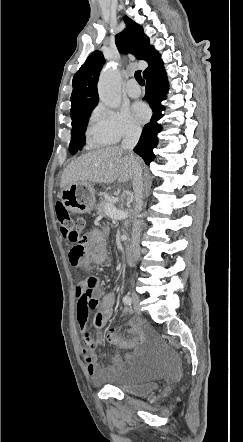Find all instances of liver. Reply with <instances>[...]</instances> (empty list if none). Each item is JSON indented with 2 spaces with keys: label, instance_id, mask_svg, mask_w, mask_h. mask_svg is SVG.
Masks as SVG:
<instances>
[{
  "label": "liver",
  "instance_id": "6515ba94",
  "mask_svg": "<svg viewBox=\"0 0 243 442\" xmlns=\"http://www.w3.org/2000/svg\"><path fill=\"white\" fill-rule=\"evenodd\" d=\"M133 171L134 161L122 148H101L72 161L63 172L60 187L64 189L76 182L108 184L118 180L124 183L133 179Z\"/></svg>",
  "mask_w": 243,
  "mask_h": 442
}]
</instances>
